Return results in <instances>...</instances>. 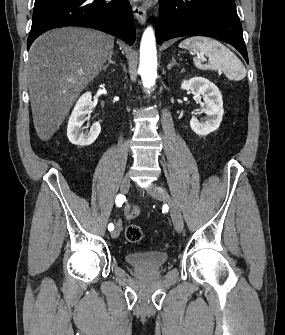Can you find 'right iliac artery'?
<instances>
[{
  "label": "right iliac artery",
  "instance_id": "right-iliac-artery-1",
  "mask_svg": "<svg viewBox=\"0 0 285 335\" xmlns=\"http://www.w3.org/2000/svg\"><path fill=\"white\" fill-rule=\"evenodd\" d=\"M124 200H125V196L119 194V195H117V197H116L115 203H116V205H117L118 207H121L122 204H123V202H124ZM113 229H114V225H113L112 223H110V224L108 225V230H109V231H112Z\"/></svg>",
  "mask_w": 285,
  "mask_h": 335
}]
</instances>
